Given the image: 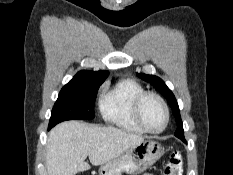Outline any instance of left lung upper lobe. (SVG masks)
<instances>
[{
  "instance_id": "left-lung-upper-lobe-1",
  "label": "left lung upper lobe",
  "mask_w": 233,
  "mask_h": 175,
  "mask_svg": "<svg viewBox=\"0 0 233 175\" xmlns=\"http://www.w3.org/2000/svg\"><path fill=\"white\" fill-rule=\"evenodd\" d=\"M137 75L141 79L149 82L154 87H156V89L167 99L170 107L173 110L174 116L176 118V123L178 126V128L175 132V136L185 142L184 133H183V124H182L181 117H180L178 103H177V100L175 99V96L172 93V91L165 85L163 80L157 76L147 75V74H143V73H140Z\"/></svg>"
}]
</instances>
